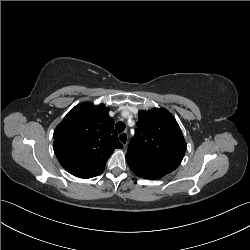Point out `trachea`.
<instances>
[{
  "instance_id": "trachea-1",
  "label": "trachea",
  "mask_w": 250,
  "mask_h": 250,
  "mask_svg": "<svg viewBox=\"0 0 250 250\" xmlns=\"http://www.w3.org/2000/svg\"><path fill=\"white\" fill-rule=\"evenodd\" d=\"M126 125L124 122H117L116 125H115V129H116V132L117 133H122L125 129Z\"/></svg>"
}]
</instances>
